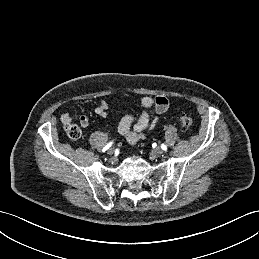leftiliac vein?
<instances>
[{"label":"left iliac vein","instance_id":"left-iliac-vein-1","mask_svg":"<svg viewBox=\"0 0 259 259\" xmlns=\"http://www.w3.org/2000/svg\"><path fill=\"white\" fill-rule=\"evenodd\" d=\"M163 149L161 148V147H157L155 150H154V153L156 154V155H161V154H163Z\"/></svg>","mask_w":259,"mask_h":259}]
</instances>
